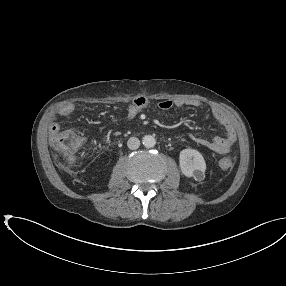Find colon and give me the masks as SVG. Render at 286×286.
Wrapping results in <instances>:
<instances>
[{
    "label": "colon",
    "instance_id": "1",
    "mask_svg": "<svg viewBox=\"0 0 286 286\" xmlns=\"http://www.w3.org/2000/svg\"><path fill=\"white\" fill-rule=\"evenodd\" d=\"M51 142L56 151L67 164H72L76 160V152L83 143L82 137L74 131H58L51 136ZM234 164V157H227L220 160L222 169H230Z\"/></svg>",
    "mask_w": 286,
    "mask_h": 286
}]
</instances>
